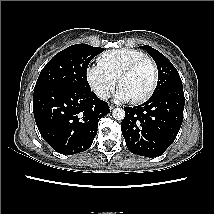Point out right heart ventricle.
I'll list each match as a JSON object with an SVG mask.
<instances>
[{
	"mask_svg": "<svg viewBox=\"0 0 214 214\" xmlns=\"http://www.w3.org/2000/svg\"><path fill=\"white\" fill-rule=\"evenodd\" d=\"M145 53L129 48L115 49L103 53L98 64L105 68L113 77L118 78L120 72L137 59L145 57Z\"/></svg>",
	"mask_w": 214,
	"mask_h": 214,
	"instance_id": "right-heart-ventricle-1",
	"label": "right heart ventricle"
}]
</instances>
